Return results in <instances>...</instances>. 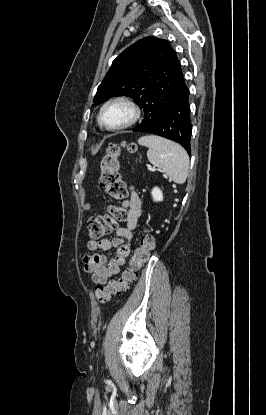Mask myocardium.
I'll return each instance as SVG.
<instances>
[{
  "instance_id": "myocardium-1",
  "label": "myocardium",
  "mask_w": 266,
  "mask_h": 415,
  "mask_svg": "<svg viewBox=\"0 0 266 415\" xmlns=\"http://www.w3.org/2000/svg\"><path fill=\"white\" fill-rule=\"evenodd\" d=\"M114 104H122L125 105L130 110V118L123 124L118 126H108L103 121V113L111 105ZM141 111L138 105L129 97L126 96H115L109 100H107L100 108L99 114H98V122L101 127L105 128L109 131H119L123 129H127L134 125L140 118Z\"/></svg>"
}]
</instances>
